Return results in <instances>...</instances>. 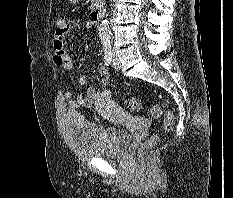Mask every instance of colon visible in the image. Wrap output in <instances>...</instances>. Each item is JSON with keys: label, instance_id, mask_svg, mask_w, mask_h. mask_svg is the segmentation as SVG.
Instances as JSON below:
<instances>
[{"label": "colon", "instance_id": "colon-1", "mask_svg": "<svg viewBox=\"0 0 233 198\" xmlns=\"http://www.w3.org/2000/svg\"><path fill=\"white\" fill-rule=\"evenodd\" d=\"M63 19H57L55 23V31L61 32L63 30L64 25ZM126 105L131 110H138L140 108V102L138 99L130 98L126 101ZM149 114L152 118H160L163 116L164 122H163V129L164 131H171L174 123H175V116L171 110H164L160 104H153L149 108ZM159 141L158 135L151 136L140 148L139 150V156L141 158H144L147 151L155 146Z\"/></svg>", "mask_w": 233, "mask_h": 198}]
</instances>
